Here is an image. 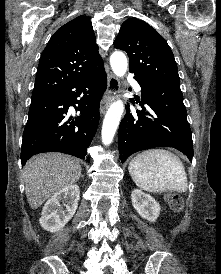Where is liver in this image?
Returning <instances> with one entry per match:
<instances>
[{
	"instance_id": "1",
	"label": "liver",
	"mask_w": 221,
	"mask_h": 274,
	"mask_svg": "<svg viewBox=\"0 0 221 274\" xmlns=\"http://www.w3.org/2000/svg\"><path fill=\"white\" fill-rule=\"evenodd\" d=\"M23 175L29 206L37 209L55 193L75 184L81 177V165L65 154H40L26 163Z\"/></svg>"
}]
</instances>
